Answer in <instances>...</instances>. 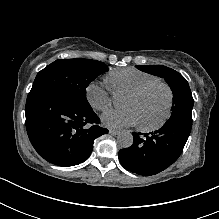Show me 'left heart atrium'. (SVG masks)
<instances>
[{"mask_svg": "<svg viewBox=\"0 0 219 219\" xmlns=\"http://www.w3.org/2000/svg\"><path fill=\"white\" fill-rule=\"evenodd\" d=\"M101 120L102 124L109 128H121L139 123L138 115L132 108L107 111L102 115Z\"/></svg>", "mask_w": 219, "mask_h": 219, "instance_id": "1", "label": "left heart atrium"}]
</instances>
